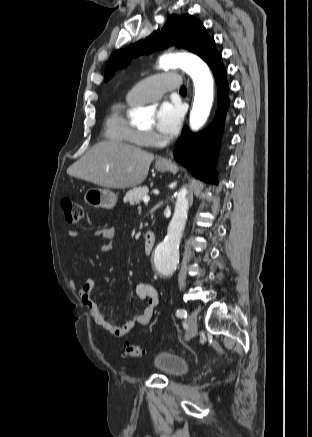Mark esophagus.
I'll use <instances>...</instances> for the list:
<instances>
[{
    "mask_svg": "<svg viewBox=\"0 0 312 437\" xmlns=\"http://www.w3.org/2000/svg\"><path fill=\"white\" fill-rule=\"evenodd\" d=\"M172 152H169L167 155L163 156V157H159L157 159V163L159 164H169L171 162L172 159Z\"/></svg>",
    "mask_w": 312,
    "mask_h": 437,
    "instance_id": "34e87169",
    "label": "esophagus"
}]
</instances>
